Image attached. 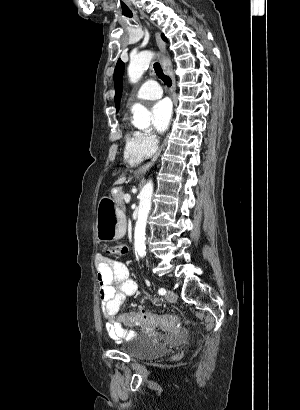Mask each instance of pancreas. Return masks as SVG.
<instances>
[{"label":"pancreas","mask_w":300,"mask_h":410,"mask_svg":"<svg viewBox=\"0 0 300 410\" xmlns=\"http://www.w3.org/2000/svg\"><path fill=\"white\" fill-rule=\"evenodd\" d=\"M114 200L116 203L122 208L125 209V204H124V192L119 189V192L117 194L113 195Z\"/></svg>","instance_id":"pancreas-1"}]
</instances>
